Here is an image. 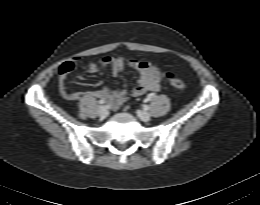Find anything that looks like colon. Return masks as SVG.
<instances>
[{"label": "colon", "mask_w": 260, "mask_h": 205, "mask_svg": "<svg viewBox=\"0 0 260 205\" xmlns=\"http://www.w3.org/2000/svg\"><path fill=\"white\" fill-rule=\"evenodd\" d=\"M168 82L176 89L183 90L186 87V83L178 78L173 72H167L165 74Z\"/></svg>", "instance_id": "obj_1"}]
</instances>
